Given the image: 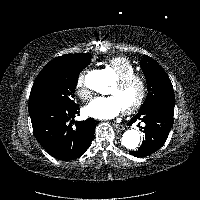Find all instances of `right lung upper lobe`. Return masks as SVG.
Wrapping results in <instances>:
<instances>
[{"label": "right lung upper lobe", "mask_w": 200, "mask_h": 200, "mask_svg": "<svg viewBox=\"0 0 200 200\" xmlns=\"http://www.w3.org/2000/svg\"><path fill=\"white\" fill-rule=\"evenodd\" d=\"M78 56V54H65L63 56H59L57 58H54L52 61H50L43 69L42 71H52L56 70L61 66L68 65L72 63V61Z\"/></svg>", "instance_id": "right-lung-upper-lobe-1"}]
</instances>
